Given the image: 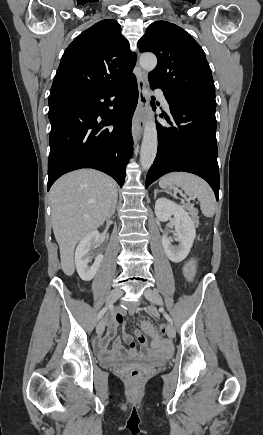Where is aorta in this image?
Wrapping results in <instances>:
<instances>
[{
  "mask_svg": "<svg viewBox=\"0 0 263 435\" xmlns=\"http://www.w3.org/2000/svg\"><path fill=\"white\" fill-rule=\"evenodd\" d=\"M139 63L146 72H151L157 65V58L154 54L145 53L140 56ZM151 110V108H149ZM157 129L154 118L150 117L144 125V135L140 152V163L144 170H148L157 154Z\"/></svg>",
  "mask_w": 263,
  "mask_h": 435,
  "instance_id": "aorta-1",
  "label": "aorta"
}]
</instances>
